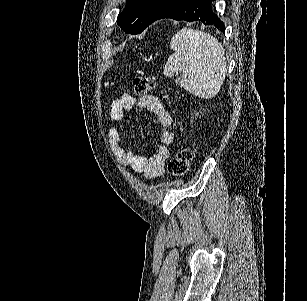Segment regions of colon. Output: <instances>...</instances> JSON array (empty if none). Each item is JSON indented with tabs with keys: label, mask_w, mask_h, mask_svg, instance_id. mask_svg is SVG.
Instances as JSON below:
<instances>
[{
	"label": "colon",
	"mask_w": 307,
	"mask_h": 301,
	"mask_svg": "<svg viewBox=\"0 0 307 301\" xmlns=\"http://www.w3.org/2000/svg\"><path fill=\"white\" fill-rule=\"evenodd\" d=\"M155 87V80L150 76H138L133 80V90L143 96L150 93ZM194 158V152L190 147H182L170 159L167 169L173 176H183L190 168Z\"/></svg>",
	"instance_id": "1"
}]
</instances>
